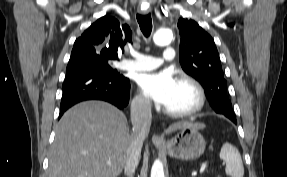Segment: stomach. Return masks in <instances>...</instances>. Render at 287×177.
<instances>
[{
  "label": "stomach",
  "mask_w": 287,
  "mask_h": 177,
  "mask_svg": "<svg viewBox=\"0 0 287 177\" xmlns=\"http://www.w3.org/2000/svg\"><path fill=\"white\" fill-rule=\"evenodd\" d=\"M206 147V142L203 136L198 132V129L187 126L170 139L166 146L161 147L168 154L176 159L195 160L199 158Z\"/></svg>",
  "instance_id": "obj_1"
}]
</instances>
